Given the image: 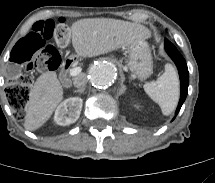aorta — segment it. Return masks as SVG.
Here are the masks:
<instances>
[{"label": "aorta", "instance_id": "aorta-1", "mask_svg": "<svg viewBox=\"0 0 215 183\" xmlns=\"http://www.w3.org/2000/svg\"><path fill=\"white\" fill-rule=\"evenodd\" d=\"M117 77L116 66L108 61H99L93 64L88 72L91 84L98 89L110 87Z\"/></svg>", "mask_w": 215, "mask_h": 183}]
</instances>
